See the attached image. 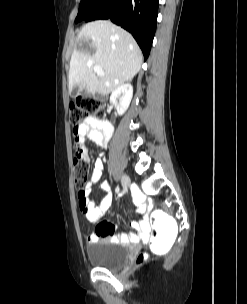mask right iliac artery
<instances>
[{
	"label": "right iliac artery",
	"instance_id": "obj_1",
	"mask_svg": "<svg viewBox=\"0 0 247 304\" xmlns=\"http://www.w3.org/2000/svg\"><path fill=\"white\" fill-rule=\"evenodd\" d=\"M119 191H120L119 187H116L115 192L119 194Z\"/></svg>",
	"mask_w": 247,
	"mask_h": 304
}]
</instances>
